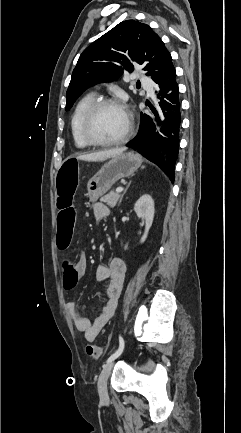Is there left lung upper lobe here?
Here are the masks:
<instances>
[{
    "mask_svg": "<svg viewBox=\"0 0 241 433\" xmlns=\"http://www.w3.org/2000/svg\"><path fill=\"white\" fill-rule=\"evenodd\" d=\"M138 63L154 82L164 75L172 58L160 37L134 20L119 23L79 57L67 90L66 109L90 86L115 80Z\"/></svg>",
    "mask_w": 241,
    "mask_h": 433,
    "instance_id": "5c2ea615",
    "label": "left lung upper lobe"
}]
</instances>
